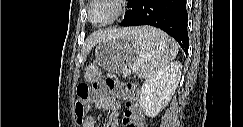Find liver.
I'll return each mask as SVG.
<instances>
[{"mask_svg": "<svg viewBox=\"0 0 243 127\" xmlns=\"http://www.w3.org/2000/svg\"><path fill=\"white\" fill-rule=\"evenodd\" d=\"M136 30V28H122V29H111V30H104V31H99L87 39L86 46H85V51L89 52L95 45L110 40L114 39L117 37L121 36H130L133 34V32Z\"/></svg>", "mask_w": 243, "mask_h": 127, "instance_id": "6515ba94", "label": "liver"}]
</instances>
